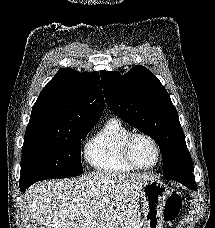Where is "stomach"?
I'll use <instances>...</instances> for the list:
<instances>
[{
  "label": "stomach",
  "mask_w": 215,
  "mask_h": 228,
  "mask_svg": "<svg viewBox=\"0 0 215 228\" xmlns=\"http://www.w3.org/2000/svg\"><path fill=\"white\" fill-rule=\"evenodd\" d=\"M171 194L172 190L156 178L141 184L137 198L141 204L143 228H163L165 204Z\"/></svg>",
  "instance_id": "0dacf381"
}]
</instances>
